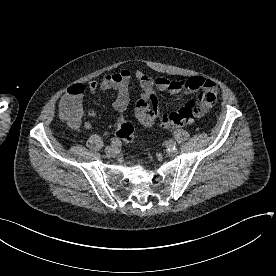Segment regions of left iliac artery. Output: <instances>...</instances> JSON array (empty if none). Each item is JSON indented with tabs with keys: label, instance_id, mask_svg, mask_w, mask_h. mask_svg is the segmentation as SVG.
I'll return each mask as SVG.
<instances>
[{
	"label": "left iliac artery",
	"instance_id": "obj_1",
	"mask_svg": "<svg viewBox=\"0 0 276 276\" xmlns=\"http://www.w3.org/2000/svg\"><path fill=\"white\" fill-rule=\"evenodd\" d=\"M167 148H169V149H172V148H175L176 147V142L174 141V140H169L168 142H167Z\"/></svg>",
	"mask_w": 276,
	"mask_h": 276
}]
</instances>
